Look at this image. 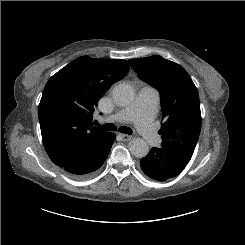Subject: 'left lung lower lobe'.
I'll use <instances>...</instances> for the list:
<instances>
[{"label":"left lung lower lobe","instance_id":"obj_1","mask_svg":"<svg viewBox=\"0 0 245 245\" xmlns=\"http://www.w3.org/2000/svg\"><path fill=\"white\" fill-rule=\"evenodd\" d=\"M188 163L165 148H152L140 161L143 172L157 181H165L181 173Z\"/></svg>","mask_w":245,"mask_h":245}]
</instances>
